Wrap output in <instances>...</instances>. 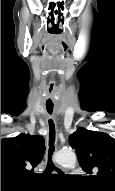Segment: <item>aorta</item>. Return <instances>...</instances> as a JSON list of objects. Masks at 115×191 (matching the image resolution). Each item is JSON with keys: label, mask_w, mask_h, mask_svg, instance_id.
<instances>
[{"label": "aorta", "mask_w": 115, "mask_h": 191, "mask_svg": "<svg viewBox=\"0 0 115 191\" xmlns=\"http://www.w3.org/2000/svg\"><path fill=\"white\" fill-rule=\"evenodd\" d=\"M76 155L72 151L61 150L56 156L55 160L58 164L65 167H74L76 164Z\"/></svg>", "instance_id": "obj_1"}]
</instances>
